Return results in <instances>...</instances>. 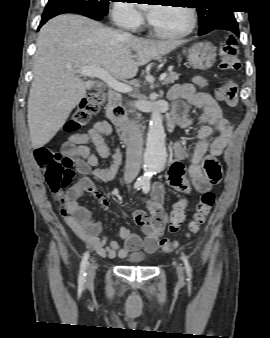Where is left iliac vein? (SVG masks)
I'll use <instances>...</instances> for the list:
<instances>
[{"label":"left iliac vein","instance_id":"obj_1","mask_svg":"<svg viewBox=\"0 0 270 338\" xmlns=\"http://www.w3.org/2000/svg\"><path fill=\"white\" fill-rule=\"evenodd\" d=\"M175 267H176V271H177V274H178V278H179L180 281H182L183 280V268L179 264H175Z\"/></svg>","mask_w":270,"mask_h":338}]
</instances>
